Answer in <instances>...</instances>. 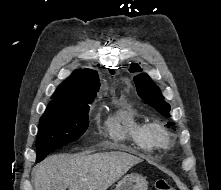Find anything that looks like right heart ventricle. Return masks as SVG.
Masks as SVG:
<instances>
[{
	"mask_svg": "<svg viewBox=\"0 0 221 190\" xmlns=\"http://www.w3.org/2000/svg\"><path fill=\"white\" fill-rule=\"evenodd\" d=\"M147 121L130 104H122L105 121L106 135L114 142L130 143L143 151H152L154 146L146 133Z\"/></svg>",
	"mask_w": 221,
	"mask_h": 190,
	"instance_id": "1",
	"label": "right heart ventricle"
}]
</instances>
